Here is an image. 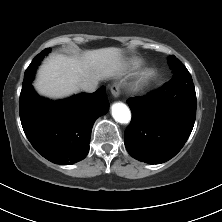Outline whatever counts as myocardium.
Here are the masks:
<instances>
[{
  "label": "myocardium",
  "mask_w": 222,
  "mask_h": 222,
  "mask_svg": "<svg viewBox=\"0 0 222 222\" xmlns=\"http://www.w3.org/2000/svg\"><path fill=\"white\" fill-rule=\"evenodd\" d=\"M152 75L150 70H144L141 74V82H146Z\"/></svg>",
  "instance_id": "1"
}]
</instances>
